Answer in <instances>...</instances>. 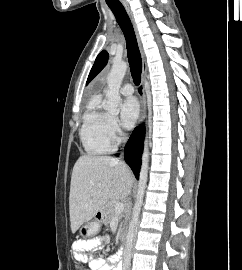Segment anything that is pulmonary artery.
Masks as SVG:
<instances>
[{"instance_id": "pulmonary-artery-1", "label": "pulmonary artery", "mask_w": 242, "mask_h": 270, "mask_svg": "<svg viewBox=\"0 0 242 270\" xmlns=\"http://www.w3.org/2000/svg\"><path fill=\"white\" fill-rule=\"evenodd\" d=\"M133 92H134L133 86L130 85V84L123 85L120 88V93L123 94V95H125V96L132 95Z\"/></svg>"}]
</instances>
